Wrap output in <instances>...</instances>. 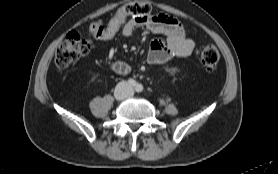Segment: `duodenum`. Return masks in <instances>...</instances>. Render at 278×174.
Wrapping results in <instances>:
<instances>
[{
	"mask_svg": "<svg viewBox=\"0 0 278 174\" xmlns=\"http://www.w3.org/2000/svg\"><path fill=\"white\" fill-rule=\"evenodd\" d=\"M113 68L117 73L123 74L128 71V67L123 62H116L113 64Z\"/></svg>",
	"mask_w": 278,
	"mask_h": 174,
	"instance_id": "obj_1",
	"label": "duodenum"
}]
</instances>
